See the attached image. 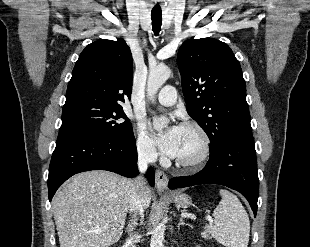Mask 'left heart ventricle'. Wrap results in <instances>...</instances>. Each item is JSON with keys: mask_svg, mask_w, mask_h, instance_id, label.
I'll list each match as a JSON object with an SVG mask.
<instances>
[{"mask_svg": "<svg viewBox=\"0 0 310 247\" xmlns=\"http://www.w3.org/2000/svg\"><path fill=\"white\" fill-rule=\"evenodd\" d=\"M202 149L200 135L193 129L182 128L175 158L189 160L198 156Z\"/></svg>", "mask_w": 310, "mask_h": 247, "instance_id": "b2bd125f", "label": "left heart ventricle"}]
</instances>
